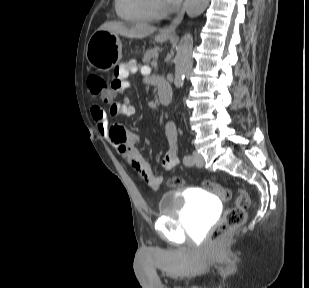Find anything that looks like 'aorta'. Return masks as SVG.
I'll return each mask as SVG.
<instances>
[{
  "label": "aorta",
  "instance_id": "762f6f07",
  "mask_svg": "<svg viewBox=\"0 0 309 288\" xmlns=\"http://www.w3.org/2000/svg\"><path fill=\"white\" fill-rule=\"evenodd\" d=\"M210 0H186L185 11L189 18L201 15L209 5ZM193 49V37L190 33H185L177 47L175 57V79L174 83L180 87L184 81L188 70Z\"/></svg>",
  "mask_w": 309,
  "mask_h": 288
}]
</instances>
